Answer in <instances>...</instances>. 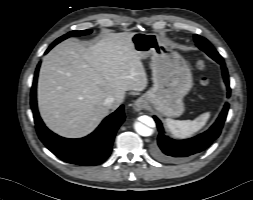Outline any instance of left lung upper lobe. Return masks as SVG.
Masks as SVG:
<instances>
[{
	"mask_svg": "<svg viewBox=\"0 0 253 200\" xmlns=\"http://www.w3.org/2000/svg\"><path fill=\"white\" fill-rule=\"evenodd\" d=\"M194 40L196 42V45L206 54H208L211 58H213L215 61L217 62L223 61V58L219 55V53L215 50V48L211 45V43L207 39L199 35H194Z\"/></svg>",
	"mask_w": 253,
	"mask_h": 200,
	"instance_id": "obj_1",
	"label": "left lung upper lobe"
}]
</instances>
